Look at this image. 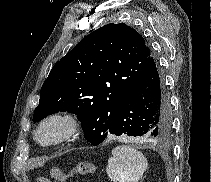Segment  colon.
<instances>
[{
  "label": "colon",
  "mask_w": 211,
  "mask_h": 182,
  "mask_svg": "<svg viewBox=\"0 0 211 182\" xmlns=\"http://www.w3.org/2000/svg\"><path fill=\"white\" fill-rule=\"evenodd\" d=\"M96 168L95 165L90 161H84L79 164H77L72 170L69 172H62L58 168H53L51 170V176L60 181L63 182L67 180L68 178H71L76 175H88L95 173ZM37 182H51L47 177L41 176L38 178Z\"/></svg>",
  "instance_id": "obj_1"
}]
</instances>
